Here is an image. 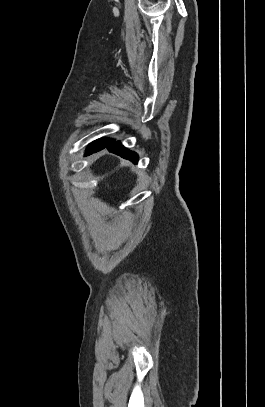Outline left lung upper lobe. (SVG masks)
I'll return each mask as SVG.
<instances>
[{
    "label": "left lung upper lobe",
    "mask_w": 265,
    "mask_h": 407,
    "mask_svg": "<svg viewBox=\"0 0 265 407\" xmlns=\"http://www.w3.org/2000/svg\"><path fill=\"white\" fill-rule=\"evenodd\" d=\"M108 141H109V139H99V140H96V141H94L93 143H91V144L88 146L87 149H89V148H91V147H93V146L99 145V144L106 143V142H108Z\"/></svg>",
    "instance_id": "1"
}]
</instances>
